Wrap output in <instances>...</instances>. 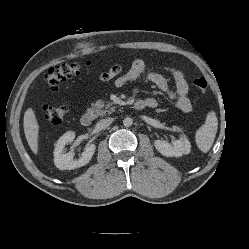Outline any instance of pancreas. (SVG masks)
Returning a JSON list of instances; mask_svg holds the SVG:
<instances>
[{
  "label": "pancreas",
  "instance_id": "1",
  "mask_svg": "<svg viewBox=\"0 0 249 249\" xmlns=\"http://www.w3.org/2000/svg\"><path fill=\"white\" fill-rule=\"evenodd\" d=\"M114 111H115L114 103L98 100L95 104H93L91 109V114L94 118H96L98 116L111 114Z\"/></svg>",
  "mask_w": 249,
  "mask_h": 249
}]
</instances>
